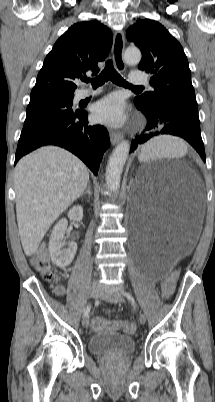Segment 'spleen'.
<instances>
[{"mask_svg": "<svg viewBox=\"0 0 215 402\" xmlns=\"http://www.w3.org/2000/svg\"><path fill=\"white\" fill-rule=\"evenodd\" d=\"M185 150L186 146L180 139L163 136L147 143L141 151V157L150 159L161 156H177L183 154Z\"/></svg>", "mask_w": 215, "mask_h": 402, "instance_id": "1", "label": "spleen"}]
</instances>
